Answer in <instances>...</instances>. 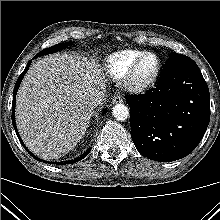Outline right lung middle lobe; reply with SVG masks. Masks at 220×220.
Instances as JSON below:
<instances>
[{"label":"right lung middle lobe","instance_id":"right-lung-middle-lobe-1","mask_svg":"<svg viewBox=\"0 0 220 220\" xmlns=\"http://www.w3.org/2000/svg\"><path fill=\"white\" fill-rule=\"evenodd\" d=\"M71 45V42H65V43H61V44H56L54 46H51L47 49H44L42 51H40L35 57H39V56H42V55H46V54H50V53H54V52H57L67 46Z\"/></svg>","mask_w":220,"mask_h":220}]
</instances>
